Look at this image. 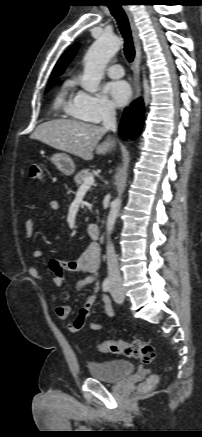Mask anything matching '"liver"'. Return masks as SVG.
<instances>
[{
  "mask_svg": "<svg viewBox=\"0 0 202 437\" xmlns=\"http://www.w3.org/2000/svg\"><path fill=\"white\" fill-rule=\"evenodd\" d=\"M107 130L99 125L67 119H56L40 124L31 139L39 140L55 149L68 152L84 160L111 152L115 141L110 136L98 144Z\"/></svg>",
  "mask_w": 202,
  "mask_h": 437,
  "instance_id": "6515ba94",
  "label": "liver"
}]
</instances>
